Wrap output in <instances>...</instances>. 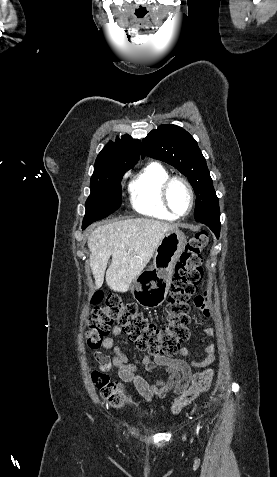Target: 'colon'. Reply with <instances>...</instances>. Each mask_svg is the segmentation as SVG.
I'll return each mask as SVG.
<instances>
[{"label":"colon","instance_id":"obj_1","mask_svg":"<svg viewBox=\"0 0 277 477\" xmlns=\"http://www.w3.org/2000/svg\"><path fill=\"white\" fill-rule=\"evenodd\" d=\"M208 237L200 232L193 235L176 265L171 291L166 305V323L157 325L150 321L133 303H124L120 297L109 295L103 303V295L96 292L91 297L93 306L86 332L87 344L92 348L101 345L114 323L121 327L135 346L152 355L173 356L180 344L190 336V303L197 297V290L203 278L202 253ZM109 367L100 365L91 374L92 382L101 397L114 407L128 403L120 384L108 373ZM213 370L196 373L191 386L173 403L174 414L194 401L211 386Z\"/></svg>","mask_w":277,"mask_h":477}]
</instances>
